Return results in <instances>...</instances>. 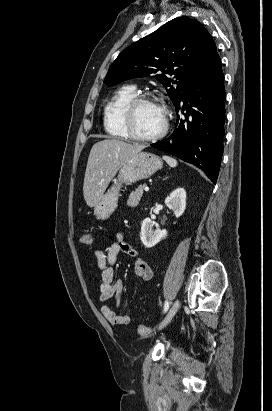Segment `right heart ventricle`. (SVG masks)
Instances as JSON below:
<instances>
[{"instance_id": "obj_1", "label": "right heart ventricle", "mask_w": 272, "mask_h": 411, "mask_svg": "<svg viewBox=\"0 0 272 411\" xmlns=\"http://www.w3.org/2000/svg\"><path fill=\"white\" fill-rule=\"evenodd\" d=\"M137 95L134 86L119 88L103 111V123L106 132L112 137L126 139L128 134L123 125V110L126 104Z\"/></svg>"}]
</instances>
